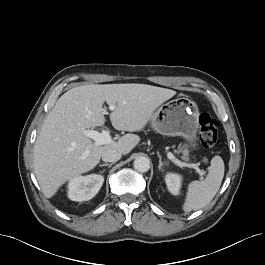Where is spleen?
<instances>
[{
  "instance_id": "1",
  "label": "spleen",
  "mask_w": 265,
  "mask_h": 265,
  "mask_svg": "<svg viewBox=\"0 0 265 265\" xmlns=\"http://www.w3.org/2000/svg\"><path fill=\"white\" fill-rule=\"evenodd\" d=\"M224 162L220 156H214L208 167V175L202 181H192L188 185L182 209L191 212L208 205L218 192L224 177Z\"/></svg>"
}]
</instances>
